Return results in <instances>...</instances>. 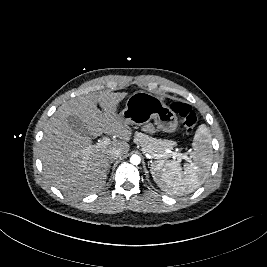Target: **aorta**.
Instances as JSON below:
<instances>
[{"instance_id": "aorta-1", "label": "aorta", "mask_w": 267, "mask_h": 267, "mask_svg": "<svg viewBox=\"0 0 267 267\" xmlns=\"http://www.w3.org/2000/svg\"><path fill=\"white\" fill-rule=\"evenodd\" d=\"M130 162L134 165H138L141 162V158L139 155L134 154L130 157Z\"/></svg>"}]
</instances>
